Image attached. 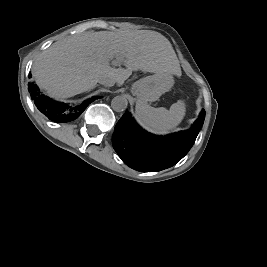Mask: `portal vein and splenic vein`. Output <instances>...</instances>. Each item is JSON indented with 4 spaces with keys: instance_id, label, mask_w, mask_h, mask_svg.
<instances>
[{
    "instance_id": "obj_1",
    "label": "portal vein and splenic vein",
    "mask_w": 267,
    "mask_h": 267,
    "mask_svg": "<svg viewBox=\"0 0 267 267\" xmlns=\"http://www.w3.org/2000/svg\"><path fill=\"white\" fill-rule=\"evenodd\" d=\"M122 60V57H117L115 60L112 61V65L116 66L118 65V61Z\"/></svg>"
}]
</instances>
